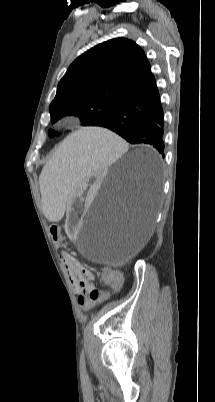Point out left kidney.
<instances>
[{"label": "left kidney", "instance_id": "obj_1", "mask_svg": "<svg viewBox=\"0 0 215 402\" xmlns=\"http://www.w3.org/2000/svg\"><path fill=\"white\" fill-rule=\"evenodd\" d=\"M106 172L104 169H97L93 175H86L83 184H77L76 190L70 193V203L67 208V215L71 220H66L64 226L65 233L72 239L77 237L76 232L81 226L79 219L87 205H90L95 198V193H99L100 186Z\"/></svg>", "mask_w": 215, "mask_h": 402}]
</instances>
